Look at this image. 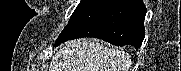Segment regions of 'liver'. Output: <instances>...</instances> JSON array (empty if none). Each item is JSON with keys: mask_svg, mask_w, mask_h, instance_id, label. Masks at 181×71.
<instances>
[{"mask_svg": "<svg viewBox=\"0 0 181 71\" xmlns=\"http://www.w3.org/2000/svg\"><path fill=\"white\" fill-rule=\"evenodd\" d=\"M128 54L90 38L65 43L52 57L49 71H128Z\"/></svg>", "mask_w": 181, "mask_h": 71, "instance_id": "obj_1", "label": "liver"}]
</instances>
